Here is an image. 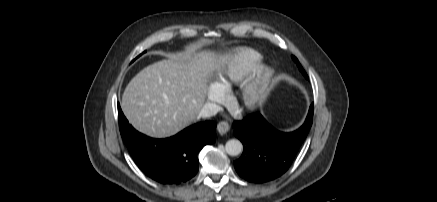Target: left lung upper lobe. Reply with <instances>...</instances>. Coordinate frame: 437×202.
Segmentation results:
<instances>
[{"label":"left lung upper lobe","mask_w":437,"mask_h":202,"mask_svg":"<svg viewBox=\"0 0 437 202\" xmlns=\"http://www.w3.org/2000/svg\"><path fill=\"white\" fill-rule=\"evenodd\" d=\"M294 61L296 62L299 70L302 72V74L305 76V78H308L306 72L304 71V69L302 68V66L300 65L298 59L296 57H293Z\"/></svg>","instance_id":"left-lung-upper-lobe-1"}]
</instances>
